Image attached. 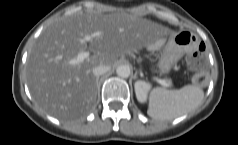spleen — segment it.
<instances>
[{
    "label": "spleen",
    "instance_id": "obj_1",
    "mask_svg": "<svg viewBox=\"0 0 238 145\" xmlns=\"http://www.w3.org/2000/svg\"><path fill=\"white\" fill-rule=\"evenodd\" d=\"M203 98L204 91L195 85H186L180 90L156 87L150 93L147 114L155 120H173L196 109Z\"/></svg>",
    "mask_w": 238,
    "mask_h": 145
}]
</instances>
